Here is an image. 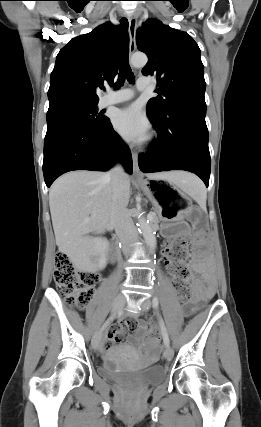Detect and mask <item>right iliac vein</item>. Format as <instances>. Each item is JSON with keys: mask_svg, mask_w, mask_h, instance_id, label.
<instances>
[{"mask_svg": "<svg viewBox=\"0 0 261 427\" xmlns=\"http://www.w3.org/2000/svg\"><path fill=\"white\" fill-rule=\"evenodd\" d=\"M124 304H125V297L122 294L117 295L112 306V311H111L112 315L119 312L123 308ZM101 338H102V330H99L94 334L91 341V345L94 350L98 349Z\"/></svg>", "mask_w": 261, "mask_h": 427, "instance_id": "1", "label": "right iliac vein"}]
</instances>
